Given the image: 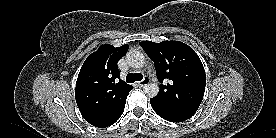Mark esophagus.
Listing matches in <instances>:
<instances>
[{
    "label": "esophagus",
    "mask_w": 276,
    "mask_h": 138,
    "mask_svg": "<svg viewBox=\"0 0 276 138\" xmlns=\"http://www.w3.org/2000/svg\"><path fill=\"white\" fill-rule=\"evenodd\" d=\"M150 82L148 77H144L141 81L138 82L139 87H145Z\"/></svg>",
    "instance_id": "obj_1"
}]
</instances>
